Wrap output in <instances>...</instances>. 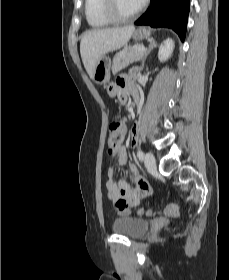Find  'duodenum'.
I'll use <instances>...</instances> for the list:
<instances>
[{"instance_id":"obj_1","label":"duodenum","mask_w":229,"mask_h":280,"mask_svg":"<svg viewBox=\"0 0 229 280\" xmlns=\"http://www.w3.org/2000/svg\"><path fill=\"white\" fill-rule=\"evenodd\" d=\"M135 98H136V100H138L139 99V95L137 94V95H135Z\"/></svg>"}]
</instances>
